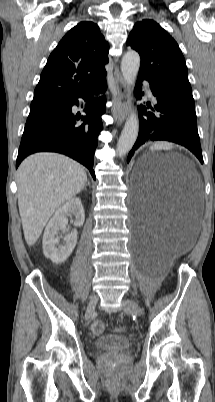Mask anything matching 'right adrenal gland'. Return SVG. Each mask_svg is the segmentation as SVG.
I'll list each match as a JSON object with an SVG mask.
<instances>
[{
    "label": "right adrenal gland",
    "instance_id": "obj_1",
    "mask_svg": "<svg viewBox=\"0 0 215 402\" xmlns=\"http://www.w3.org/2000/svg\"><path fill=\"white\" fill-rule=\"evenodd\" d=\"M86 186H90V183H89V182H87V183H86V185H85V188H86Z\"/></svg>",
    "mask_w": 215,
    "mask_h": 402
}]
</instances>
